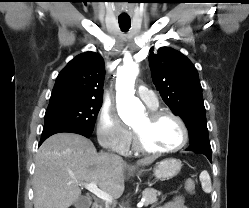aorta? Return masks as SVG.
Segmentation results:
<instances>
[{
    "mask_svg": "<svg viewBox=\"0 0 249 208\" xmlns=\"http://www.w3.org/2000/svg\"><path fill=\"white\" fill-rule=\"evenodd\" d=\"M138 71V66L134 63L125 64L117 70L116 102L118 115L126 124L132 123L144 114L143 104L134 96V83Z\"/></svg>",
    "mask_w": 249,
    "mask_h": 208,
    "instance_id": "762f6f07",
    "label": "aorta"
}]
</instances>
